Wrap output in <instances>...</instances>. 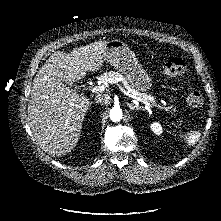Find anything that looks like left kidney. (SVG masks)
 <instances>
[{
    "mask_svg": "<svg viewBox=\"0 0 221 221\" xmlns=\"http://www.w3.org/2000/svg\"><path fill=\"white\" fill-rule=\"evenodd\" d=\"M151 129L157 135H160L162 133V127L158 122L152 123L151 124Z\"/></svg>",
    "mask_w": 221,
    "mask_h": 221,
    "instance_id": "5707ae66",
    "label": "left kidney"
}]
</instances>
